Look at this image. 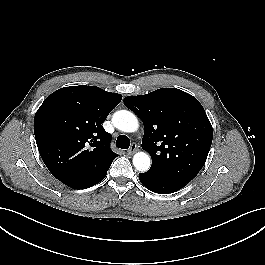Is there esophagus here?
<instances>
[{"mask_svg": "<svg viewBox=\"0 0 265 265\" xmlns=\"http://www.w3.org/2000/svg\"><path fill=\"white\" fill-rule=\"evenodd\" d=\"M137 151V145L136 143H133L130 148L128 149L127 153L129 155H132L133 153H135Z\"/></svg>", "mask_w": 265, "mask_h": 265, "instance_id": "esophagus-1", "label": "esophagus"}]
</instances>
